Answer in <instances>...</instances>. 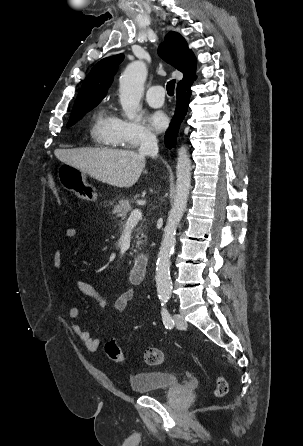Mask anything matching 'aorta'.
Returning <instances> with one entry per match:
<instances>
[{
	"label": "aorta",
	"mask_w": 303,
	"mask_h": 446,
	"mask_svg": "<svg viewBox=\"0 0 303 446\" xmlns=\"http://www.w3.org/2000/svg\"><path fill=\"white\" fill-rule=\"evenodd\" d=\"M146 76V65L142 61H135L126 67L120 78V103L124 115L130 120L135 119L140 110ZM176 176V195L164 228L156 263V287L158 297L162 301H167L172 293L170 258L176 244V229L186 210L191 188V160L187 149L183 146L178 149Z\"/></svg>",
	"instance_id": "1"
}]
</instances>
